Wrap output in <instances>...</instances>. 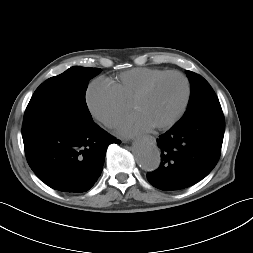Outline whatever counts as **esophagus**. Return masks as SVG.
Returning <instances> with one entry per match:
<instances>
[{
  "label": "esophagus",
  "instance_id": "esophagus-1",
  "mask_svg": "<svg viewBox=\"0 0 253 253\" xmlns=\"http://www.w3.org/2000/svg\"><path fill=\"white\" fill-rule=\"evenodd\" d=\"M148 138H149V139H154V138H153V137H151V136H149Z\"/></svg>",
  "mask_w": 253,
  "mask_h": 253
}]
</instances>
